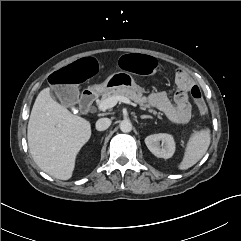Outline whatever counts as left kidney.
I'll use <instances>...</instances> for the list:
<instances>
[{
	"label": "left kidney",
	"instance_id": "left-kidney-1",
	"mask_svg": "<svg viewBox=\"0 0 241 241\" xmlns=\"http://www.w3.org/2000/svg\"><path fill=\"white\" fill-rule=\"evenodd\" d=\"M145 144L150 152L158 158H171L175 152L174 138L170 134L149 135L145 138Z\"/></svg>",
	"mask_w": 241,
	"mask_h": 241
}]
</instances>
